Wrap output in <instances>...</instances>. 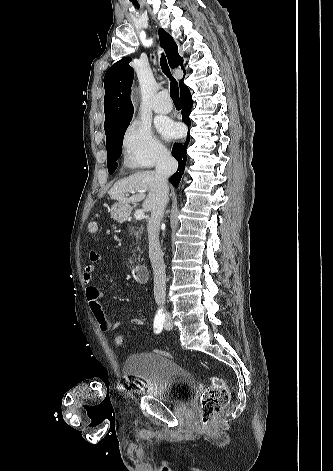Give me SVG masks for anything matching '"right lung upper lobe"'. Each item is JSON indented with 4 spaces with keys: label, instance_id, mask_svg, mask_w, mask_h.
Returning <instances> with one entry per match:
<instances>
[{
    "label": "right lung upper lobe",
    "instance_id": "right-lung-upper-lobe-1",
    "mask_svg": "<svg viewBox=\"0 0 333 471\" xmlns=\"http://www.w3.org/2000/svg\"><path fill=\"white\" fill-rule=\"evenodd\" d=\"M159 36L170 67L175 68L180 65L184 70L183 58L180 57L177 44L171 35L163 29H159ZM131 60V58H123L117 61L107 70L104 76L105 131L132 118L134 109L130 100V88L134 73L133 68L129 65ZM183 79L179 82L180 90L186 86Z\"/></svg>",
    "mask_w": 333,
    "mask_h": 471
}]
</instances>
